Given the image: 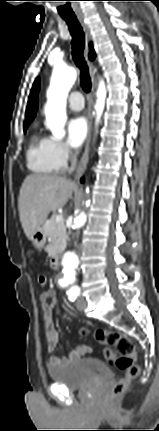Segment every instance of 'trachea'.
I'll use <instances>...</instances> for the list:
<instances>
[{
  "label": "trachea",
  "mask_w": 159,
  "mask_h": 431,
  "mask_svg": "<svg viewBox=\"0 0 159 431\" xmlns=\"http://www.w3.org/2000/svg\"><path fill=\"white\" fill-rule=\"evenodd\" d=\"M66 21L70 34L72 36V58L76 66L80 69V82L83 90L88 93L91 90V79L89 76L88 66L83 57L85 46V34L83 28L76 17H63Z\"/></svg>",
  "instance_id": "1"
}]
</instances>
